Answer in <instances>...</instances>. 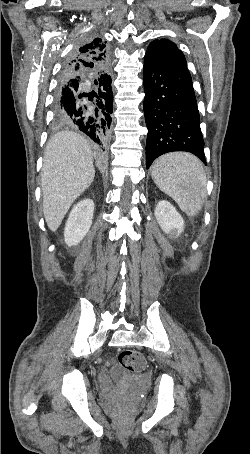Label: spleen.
Instances as JSON below:
<instances>
[{
    "label": "spleen",
    "mask_w": 250,
    "mask_h": 454,
    "mask_svg": "<svg viewBox=\"0 0 250 454\" xmlns=\"http://www.w3.org/2000/svg\"><path fill=\"white\" fill-rule=\"evenodd\" d=\"M151 175L187 215L199 213L206 194V175L199 159L188 153H169L154 162Z\"/></svg>",
    "instance_id": "spleen-1"
}]
</instances>
